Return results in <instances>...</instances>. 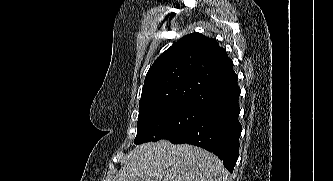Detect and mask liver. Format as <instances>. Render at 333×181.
<instances>
[{
	"mask_svg": "<svg viewBox=\"0 0 333 181\" xmlns=\"http://www.w3.org/2000/svg\"><path fill=\"white\" fill-rule=\"evenodd\" d=\"M225 173L213 153L160 140L136 146L111 181H224Z\"/></svg>",
	"mask_w": 333,
	"mask_h": 181,
	"instance_id": "6515ba94",
	"label": "liver"
}]
</instances>
